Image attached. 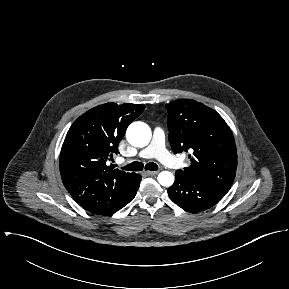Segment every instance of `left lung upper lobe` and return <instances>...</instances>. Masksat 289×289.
<instances>
[{
	"label": "left lung upper lobe",
	"instance_id": "1",
	"mask_svg": "<svg viewBox=\"0 0 289 289\" xmlns=\"http://www.w3.org/2000/svg\"><path fill=\"white\" fill-rule=\"evenodd\" d=\"M169 142L175 153L193 150L185 173L212 186L229 190L236 174L237 151L233 134L213 109L190 99L166 105Z\"/></svg>",
	"mask_w": 289,
	"mask_h": 289
}]
</instances>
